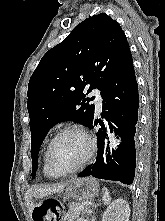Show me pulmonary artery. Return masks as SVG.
<instances>
[{
    "label": "pulmonary artery",
    "instance_id": "obj_1",
    "mask_svg": "<svg viewBox=\"0 0 165 221\" xmlns=\"http://www.w3.org/2000/svg\"><path fill=\"white\" fill-rule=\"evenodd\" d=\"M93 95L95 96L96 110H97V112H100L102 109V105H103V98L98 90H95L93 92Z\"/></svg>",
    "mask_w": 165,
    "mask_h": 221
}]
</instances>
